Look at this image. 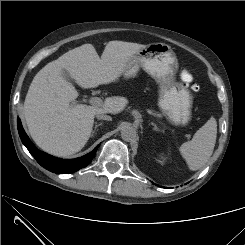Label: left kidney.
<instances>
[{
  "label": "left kidney",
  "mask_w": 245,
  "mask_h": 245,
  "mask_svg": "<svg viewBox=\"0 0 245 245\" xmlns=\"http://www.w3.org/2000/svg\"><path fill=\"white\" fill-rule=\"evenodd\" d=\"M161 159H162L163 161H165V160H166V157H164V156H161Z\"/></svg>",
  "instance_id": "left-kidney-1"
}]
</instances>
